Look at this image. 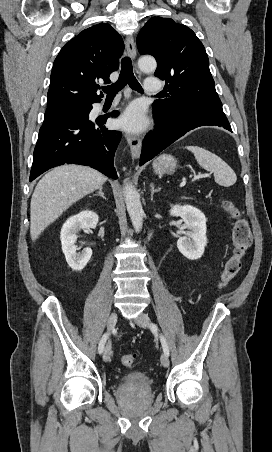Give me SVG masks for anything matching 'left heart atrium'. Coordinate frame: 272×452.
I'll use <instances>...</instances> for the list:
<instances>
[{
  "mask_svg": "<svg viewBox=\"0 0 272 452\" xmlns=\"http://www.w3.org/2000/svg\"><path fill=\"white\" fill-rule=\"evenodd\" d=\"M118 127L130 131L139 132L147 125V119L143 107L140 105H131L117 121Z\"/></svg>",
  "mask_w": 272,
  "mask_h": 452,
  "instance_id": "left-heart-atrium-1",
  "label": "left heart atrium"
}]
</instances>
